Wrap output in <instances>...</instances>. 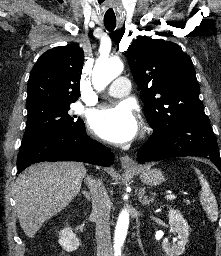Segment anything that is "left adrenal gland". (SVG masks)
Wrapping results in <instances>:
<instances>
[{"mask_svg":"<svg viewBox=\"0 0 221 256\" xmlns=\"http://www.w3.org/2000/svg\"><path fill=\"white\" fill-rule=\"evenodd\" d=\"M144 194H145V189H142L139 192V201L142 203L143 206L149 205L150 203H152L154 201L153 198H148Z\"/></svg>","mask_w":221,"mask_h":256,"instance_id":"left-adrenal-gland-1","label":"left adrenal gland"}]
</instances>
